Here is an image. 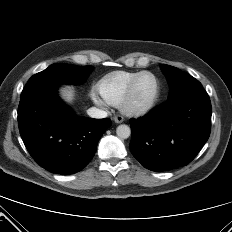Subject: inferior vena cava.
<instances>
[{
  "instance_id": "1",
  "label": "inferior vena cava",
  "mask_w": 232,
  "mask_h": 232,
  "mask_svg": "<svg viewBox=\"0 0 232 232\" xmlns=\"http://www.w3.org/2000/svg\"><path fill=\"white\" fill-rule=\"evenodd\" d=\"M87 114L92 117V118H106L107 117V112L101 109H98L96 107H91L87 110Z\"/></svg>"
}]
</instances>
